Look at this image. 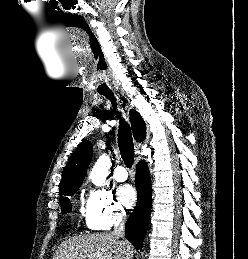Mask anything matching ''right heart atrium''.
Returning a JSON list of instances; mask_svg holds the SVG:
<instances>
[{
    "instance_id": "1",
    "label": "right heart atrium",
    "mask_w": 248,
    "mask_h": 259,
    "mask_svg": "<svg viewBox=\"0 0 248 259\" xmlns=\"http://www.w3.org/2000/svg\"><path fill=\"white\" fill-rule=\"evenodd\" d=\"M126 216L125 210L110 191L91 189L86 201V219L94 230L110 229Z\"/></svg>"
}]
</instances>
